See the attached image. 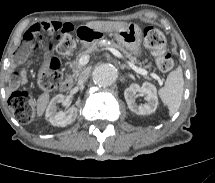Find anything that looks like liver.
<instances>
[{
  "label": "liver",
  "instance_id": "obj_1",
  "mask_svg": "<svg viewBox=\"0 0 215 183\" xmlns=\"http://www.w3.org/2000/svg\"><path fill=\"white\" fill-rule=\"evenodd\" d=\"M130 23L127 22H114V21H91L85 24L86 27L96 32L113 33L115 31L123 30L128 27ZM49 102V93L41 94L37 99V116H42L47 104Z\"/></svg>",
  "mask_w": 215,
  "mask_h": 183
}]
</instances>
